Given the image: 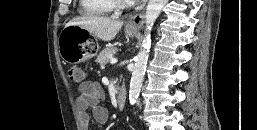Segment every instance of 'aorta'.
<instances>
[{
	"instance_id": "obj_1",
	"label": "aorta",
	"mask_w": 257,
	"mask_h": 130,
	"mask_svg": "<svg viewBox=\"0 0 257 130\" xmlns=\"http://www.w3.org/2000/svg\"><path fill=\"white\" fill-rule=\"evenodd\" d=\"M166 2L167 0H149L148 2L145 14V37L142 42L140 52L136 56L134 70L132 72L130 82L129 102L131 105L136 103L142 87L149 53L150 31Z\"/></svg>"
}]
</instances>
